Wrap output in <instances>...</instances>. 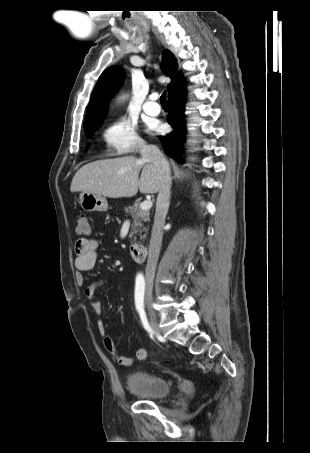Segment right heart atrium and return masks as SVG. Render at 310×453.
Returning a JSON list of instances; mask_svg holds the SVG:
<instances>
[{"label":"right heart atrium","mask_w":310,"mask_h":453,"mask_svg":"<svg viewBox=\"0 0 310 453\" xmlns=\"http://www.w3.org/2000/svg\"><path fill=\"white\" fill-rule=\"evenodd\" d=\"M102 140L109 155H127L144 146L134 123L126 118H116L103 129Z\"/></svg>","instance_id":"d8ad5b80"}]
</instances>
